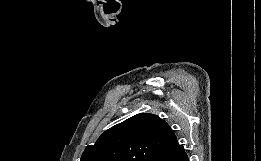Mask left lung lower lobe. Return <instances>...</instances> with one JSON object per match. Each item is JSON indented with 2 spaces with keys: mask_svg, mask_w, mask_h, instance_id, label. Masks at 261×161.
<instances>
[{
  "mask_svg": "<svg viewBox=\"0 0 261 161\" xmlns=\"http://www.w3.org/2000/svg\"><path fill=\"white\" fill-rule=\"evenodd\" d=\"M151 161H189V158L183 146L175 139L169 146L162 147Z\"/></svg>",
  "mask_w": 261,
  "mask_h": 161,
  "instance_id": "left-lung-lower-lobe-1",
  "label": "left lung lower lobe"
}]
</instances>
